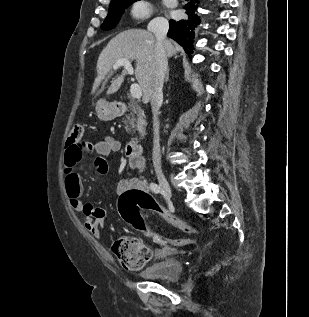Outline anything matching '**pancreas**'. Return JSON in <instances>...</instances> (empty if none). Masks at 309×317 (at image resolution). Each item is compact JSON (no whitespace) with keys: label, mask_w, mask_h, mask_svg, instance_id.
Returning <instances> with one entry per match:
<instances>
[{"label":"pancreas","mask_w":309,"mask_h":317,"mask_svg":"<svg viewBox=\"0 0 309 317\" xmlns=\"http://www.w3.org/2000/svg\"><path fill=\"white\" fill-rule=\"evenodd\" d=\"M129 109L131 111V117H126V131L130 132L131 129L134 128L144 129L147 123L144 118L143 110L134 101L130 102Z\"/></svg>","instance_id":"1"}]
</instances>
